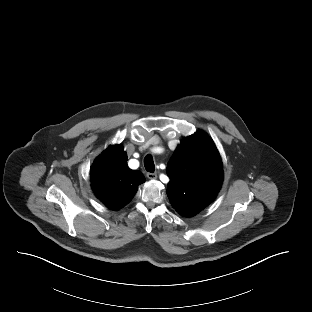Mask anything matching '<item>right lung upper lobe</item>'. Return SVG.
<instances>
[{"label": "right lung upper lobe", "mask_w": 312, "mask_h": 312, "mask_svg": "<svg viewBox=\"0 0 312 312\" xmlns=\"http://www.w3.org/2000/svg\"><path fill=\"white\" fill-rule=\"evenodd\" d=\"M90 175L93 191L112 210L130 202L138 185L145 181L139 170L128 167L127 154L121 145L111 146L98 156Z\"/></svg>", "instance_id": "right-lung-upper-lobe-1"}]
</instances>
